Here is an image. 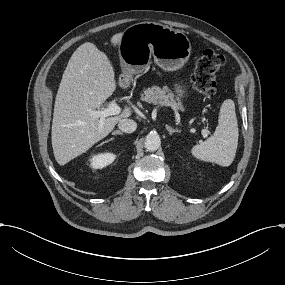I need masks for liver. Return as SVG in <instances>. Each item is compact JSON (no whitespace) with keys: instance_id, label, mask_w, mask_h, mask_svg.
<instances>
[{"instance_id":"liver-1","label":"liver","mask_w":285,"mask_h":285,"mask_svg":"<svg viewBox=\"0 0 285 285\" xmlns=\"http://www.w3.org/2000/svg\"><path fill=\"white\" fill-rule=\"evenodd\" d=\"M121 37L122 33L113 35L111 43L118 44ZM114 75L110 60L93 43L80 45L72 54L56 95L52 121V147L59 165L85 153L131 115L125 107L120 115L105 118L100 127V119L88 112L100 108L113 94Z\"/></svg>"}]
</instances>
